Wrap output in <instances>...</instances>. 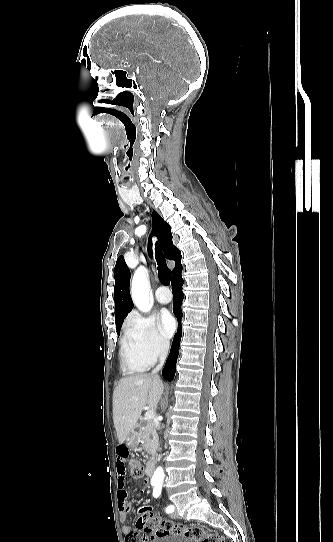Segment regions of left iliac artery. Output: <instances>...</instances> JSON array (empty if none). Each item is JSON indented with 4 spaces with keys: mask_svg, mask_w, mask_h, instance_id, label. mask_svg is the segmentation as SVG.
I'll return each mask as SVG.
<instances>
[{
    "mask_svg": "<svg viewBox=\"0 0 333 542\" xmlns=\"http://www.w3.org/2000/svg\"><path fill=\"white\" fill-rule=\"evenodd\" d=\"M161 489H162V483H156L154 484V489H153V496L155 498L159 497L160 494H161ZM166 513H172L174 511V506H168L166 508Z\"/></svg>",
    "mask_w": 333,
    "mask_h": 542,
    "instance_id": "1",
    "label": "left iliac artery"
}]
</instances>
